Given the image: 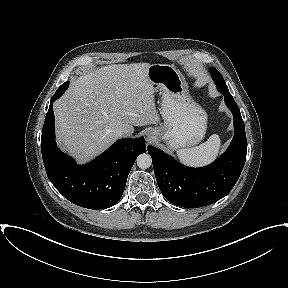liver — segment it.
Segmentation results:
<instances>
[{
  "label": "liver",
  "mask_w": 288,
  "mask_h": 288,
  "mask_svg": "<svg viewBox=\"0 0 288 288\" xmlns=\"http://www.w3.org/2000/svg\"><path fill=\"white\" fill-rule=\"evenodd\" d=\"M149 63L113 64L94 69L74 80L54 104L56 139L61 149L85 163L133 126L157 123Z\"/></svg>",
  "instance_id": "obj_1"
}]
</instances>
